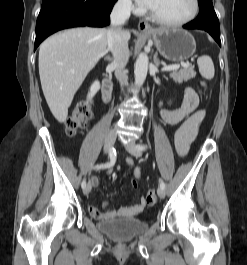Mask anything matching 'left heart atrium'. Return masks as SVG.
<instances>
[{
  "mask_svg": "<svg viewBox=\"0 0 247 265\" xmlns=\"http://www.w3.org/2000/svg\"><path fill=\"white\" fill-rule=\"evenodd\" d=\"M141 5L149 7L153 4L154 0H137Z\"/></svg>",
  "mask_w": 247,
  "mask_h": 265,
  "instance_id": "left-heart-atrium-1",
  "label": "left heart atrium"
}]
</instances>
